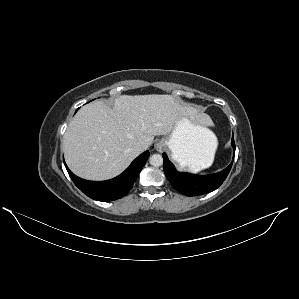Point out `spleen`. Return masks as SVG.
I'll return each instance as SVG.
<instances>
[{"label": "spleen", "instance_id": "3e777b00", "mask_svg": "<svg viewBox=\"0 0 299 299\" xmlns=\"http://www.w3.org/2000/svg\"><path fill=\"white\" fill-rule=\"evenodd\" d=\"M207 124H211V120L210 119H207L206 121ZM209 133H210V136H214L213 132L209 130ZM212 163L208 164L207 166H203V167H198V166H195V165H189V169L193 172H198L204 168H208Z\"/></svg>", "mask_w": 299, "mask_h": 299}]
</instances>
